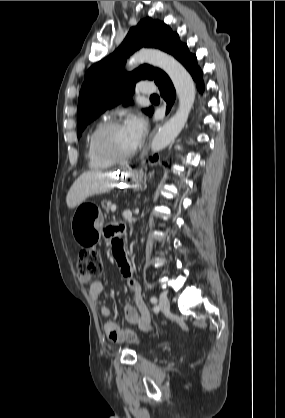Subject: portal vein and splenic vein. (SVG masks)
<instances>
[{
  "label": "portal vein and splenic vein",
  "instance_id": "18ae733b",
  "mask_svg": "<svg viewBox=\"0 0 285 418\" xmlns=\"http://www.w3.org/2000/svg\"><path fill=\"white\" fill-rule=\"evenodd\" d=\"M110 208H111V211L112 212H115L116 211V205L115 204H112Z\"/></svg>",
  "mask_w": 285,
  "mask_h": 418
}]
</instances>
